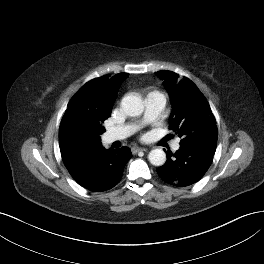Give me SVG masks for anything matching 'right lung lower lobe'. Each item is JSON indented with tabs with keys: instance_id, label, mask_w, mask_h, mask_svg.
I'll use <instances>...</instances> for the list:
<instances>
[{
	"instance_id": "obj_1",
	"label": "right lung lower lobe",
	"mask_w": 264,
	"mask_h": 264,
	"mask_svg": "<svg viewBox=\"0 0 264 264\" xmlns=\"http://www.w3.org/2000/svg\"><path fill=\"white\" fill-rule=\"evenodd\" d=\"M63 162L73 179L82 187L102 192L116 186L126 163L129 148L105 149L99 140L73 141L60 145Z\"/></svg>"
}]
</instances>
